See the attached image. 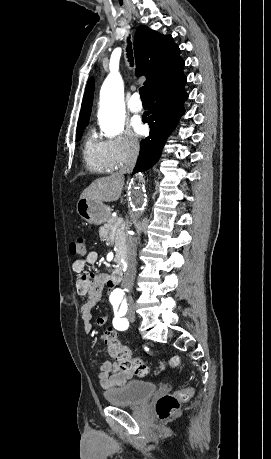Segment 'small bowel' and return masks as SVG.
I'll return each instance as SVG.
<instances>
[{
    "instance_id": "obj_1",
    "label": "small bowel",
    "mask_w": 271,
    "mask_h": 459,
    "mask_svg": "<svg viewBox=\"0 0 271 459\" xmlns=\"http://www.w3.org/2000/svg\"><path fill=\"white\" fill-rule=\"evenodd\" d=\"M97 260L98 253L91 251L72 264V270L78 274L77 293L86 297L80 308L86 334H90L92 331V310L101 301L106 286L110 284V278L107 274L85 271L87 266L94 265ZM106 322V314H102L96 319L98 326H104ZM130 378L131 372L123 370L117 362L107 361L100 366L99 383L105 390L122 387Z\"/></svg>"
}]
</instances>
